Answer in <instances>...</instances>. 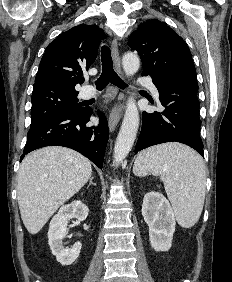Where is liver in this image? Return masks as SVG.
<instances>
[{"instance_id":"obj_1","label":"liver","mask_w":232,"mask_h":282,"mask_svg":"<svg viewBox=\"0 0 232 282\" xmlns=\"http://www.w3.org/2000/svg\"><path fill=\"white\" fill-rule=\"evenodd\" d=\"M91 174L90 161L69 148L49 146L26 155L18 173L17 199L28 232L38 233Z\"/></svg>"}]
</instances>
